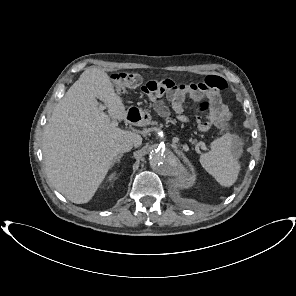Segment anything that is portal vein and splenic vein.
<instances>
[{
  "label": "portal vein and splenic vein",
  "mask_w": 296,
  "mask_h": 296,
  "mask_svg": "<svg viewBox=\"0 0 296 296\" xmlns=\"http://www.w3.org/2000/svg\"><path fill=\"white\" fill-rule=\"evenodd\" d=\"M100 109H102V110H104L105 109V107L103 106V105H100ZM112 126H114V127H117L118 126V122L117 121H112ZM202 145H203V143H202Z\"/></svg>",
  "instance_id": "obj_1"
}]
</instances>
